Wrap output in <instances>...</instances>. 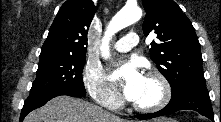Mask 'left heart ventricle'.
Wrapping results in <instances>:
<instances>
[{"instance_id": "b2bd125f", "label": "left heart ventricle", "mask_w": 221, "mask_h": 122, "mask_svg": "<svg viewBox=\"0 0 221 122\" xmlns=\"http://www.w3.org/2000/svg\"><path fill=\"white\" fill-rule=\"evenodd\" d=\"M160 95L161 89L158 82L145 77L143 86L133 102L140 105H150L155 103L160 98Z\"/></svg>"}]
</instances>
